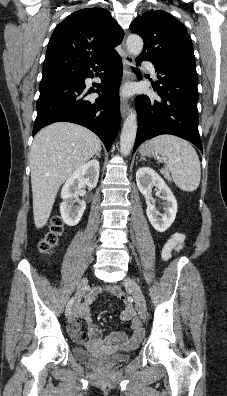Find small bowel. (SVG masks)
Segmentation results:
<instances>
[{"label": "small bowel", "instance_id": "small-bowel-1", "mask_svg": "<svg viewBox=\"0 0 227 396\" xmlns=\"http://www.w3.org/2000/svg\"><path fill=\"white\" fill-rule=\"evenodd\" d=\"M184 245L185 235L183 233H173L162 249L163 259L168 260L172 253L181 251ZM103 291L110 292L118 297L122 294L120 288L117 286L97 287L91 291L79 307L76 318L69 325L72 337L78 342L90 341L93 344L107 343L120 346L137 344L143 337V331L138 319L135 317L133 307L128 303H125L120 318L122 321H131L132 334L130 336H127L123 332L115 331L104 338L101 330L92 323L91 305ZM80 319H83L88 325L86 332L81 330Z\"/></svg>", "mask_w": 227, "mask_h": 396}]
</instances>
